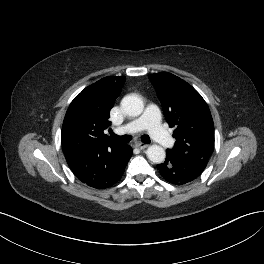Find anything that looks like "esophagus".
Returning <instances> with one entry per match:
<instances>
[{"label": "esophagus", "mask_w": 264, "mask_h": 264, "mask_svg": "<svg viewBox=\"0 0 264 264\" xmlns=\"http://www.w3.org/2000/svg\"><path fill=\"white\" fill-rule=\"evenodd\" d=\"M134 147L139 148L140 150H144V149L148 148V145L141 143V142H136L134 144Z\"/></svg>", "instance_id": "34e87169"}]
</instances>
